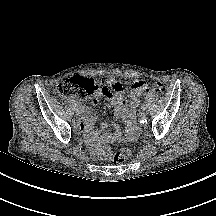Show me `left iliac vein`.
Masks as SVG:
<instances>
[{"mask_svg":"<svg viewBox=\"0 0 216 216\" xmlns=\"http://www.w3.org/2000/svg\"><path fill=\"white\" fill-rule=\"evenodd\" d=\"M140 117H145L147 115V110L145 107H142L139 113Z\"/></svg>","mask_w":216,"mask_h":216,"instance_id":"1","label":"left iliac vein"}]
</instances>
